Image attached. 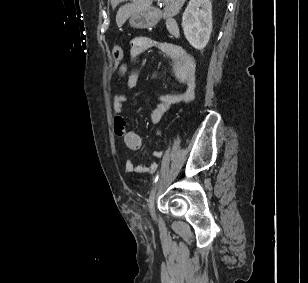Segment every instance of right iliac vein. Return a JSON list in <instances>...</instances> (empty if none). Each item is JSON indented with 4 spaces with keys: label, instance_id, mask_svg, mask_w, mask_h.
I'll list each match as a JSON object with an SVG mask.
<instances>
[{
    "label": "right iliac vein",
    "instance_id": "63e3f726",
    "mask_svg": "<svg viewBox=\"0 0 308 283\" xmlns=\"http://www.w3.org/2000/svg\"><path fill=\"white\" fill-rule=\"evenodd\" d=\"M159 185H160V180L156 183L155 187L152 189V191L150 193L149 200H148V207H149L151 214L153 213L154 201H155V198H156L157 191L159 189Z\"/></svg>",
    "mask_w": 308,
    "mask_h": 283
}]
</instances>
